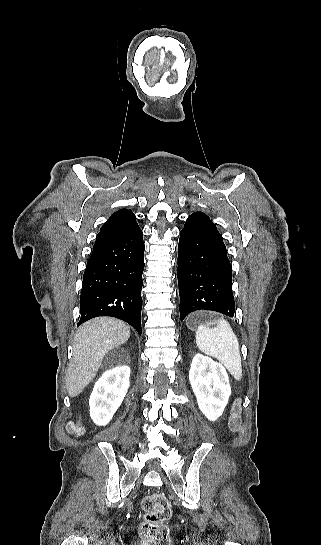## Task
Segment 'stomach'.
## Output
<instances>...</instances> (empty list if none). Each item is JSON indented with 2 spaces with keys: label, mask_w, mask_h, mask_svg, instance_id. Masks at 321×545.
Returning a JSON list of instances; mask_svg holds the SVG:
<instances>
[{
  "label": "stomach",
  "mask_w": 321,
  "mask_h": 545,
  "mask_svg": "<svg viewBox=\"0 0 321 545\" xmlns=\"http://www.w3.org/2000/svg\"><path fill=\"white\" fill-rule=\"evenodd\" d=\"M205 315H207V311H200V313H193V315H189L186 321L188 329L195 331L196 327H198L199 323H201L202 317H205Z\"/></svg>",
  "instance_id": "obj_1"
}]
</instances>
